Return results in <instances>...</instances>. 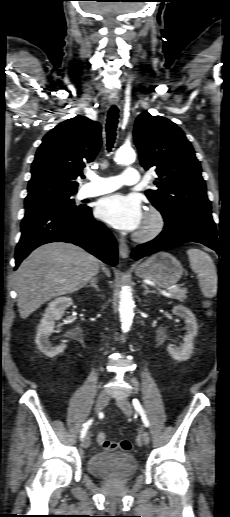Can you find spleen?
Returning a JSON list of instances; mask_svg holds the SVG:
<instances>
[{
  "mask_svg": "<svg viewBox=\"0 0 230 517\" xmlns=\"http://www.w3.org/2000/svg\"><path fill=\"white\" fill-rule=\"evenodd\" d=\"M192 271L199 277V287L203 295L212 298L217 293V271L212 258L199 249L187 250Z\"/></svg>",
  "mask_w": 230,
  "mask_h": 517,
  "instance_id": "spleen-1",
  "label": "spleen"
}]
</instances>
